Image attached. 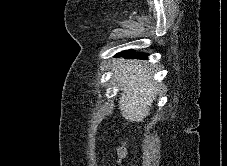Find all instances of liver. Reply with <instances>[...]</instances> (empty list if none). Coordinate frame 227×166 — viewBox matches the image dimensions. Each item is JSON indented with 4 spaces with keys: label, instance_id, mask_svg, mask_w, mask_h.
<instances>
[{
    "label": "liver",
    "instance_id": "1",
    "mask_svg": "<svg viewBox=\"0 0 227 166\" xmlns=\"http://www.w3.org/2000/svg\"><path fill=\"white\" fill-rule=\"evenodd\" d=\"M114 78L122 87L119 109L123 117L130 122H142L150 114L159 88L151 80L149 69L138 62H123L115 68Z\"/></svg>",
    "mask_w": 227,
    "mask_h": 166
}]
</instances>
